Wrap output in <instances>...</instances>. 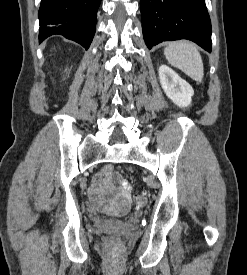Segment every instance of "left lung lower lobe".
<instances>
[{
	"instance_id": "left-lung-lower-lobe-1",
	"label": "left lung lower lobe",
	"mask_w": 247,
	"mask_h": 275,
	"mask_svg": "<svg viewBox=\"0 0 247 275\" xmlns=\"http://www.w3.org/2000/svg\"><path fill=\"white\" fill-rule=\"evenodd\" d=\"M148 49L163 41L188 39L211 52V21L205 0H140Z\"/></svg>"
}]
</instances>
